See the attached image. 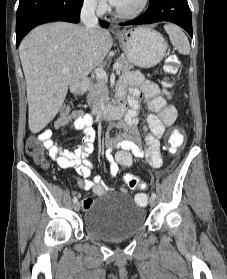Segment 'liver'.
<instances>
[{"label": "liver", "instance_id": "obj_1", "mask_svg": "<svg viewBox=\"0 0 227 279\" xmlns=\"http://www.w3.org/2000/svg\"><path fill=\"white\" fill-rule=\"evenodd\" d=\"M112 47L105 29L54 22L33 29L21 42L19 56L26 80L28 123L40 132L57 115L68 86L86 77ZM64 68H68L64 72Z\"/></svg>", "mask_w": 227, "mask_h": 279}]
</instances>
